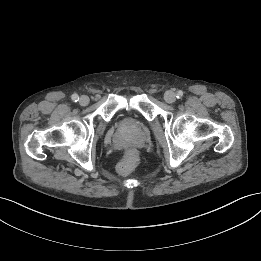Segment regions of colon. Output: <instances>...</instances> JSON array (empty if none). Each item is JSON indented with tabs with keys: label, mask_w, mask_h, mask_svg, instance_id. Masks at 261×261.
I'll use <instances>...</instances> for the list:
<instances>
[{
	"label": "colon",
	"mask_w": 261,
	"mask_h": 261,
	"mask_svg": "<svg viewBox=\"0 0 261 261\" xmlns=\"http://www.w3.org/2000/svg\"><path fill=\"white\" fill-rule=\"evenodd\" d=\"M137 159V151L129 149L126 151L125 156L118 167V171L122 175H127L133 168Z\"/></svg>",
	"instance_id": "5ec220e1"
}]
</instances>
